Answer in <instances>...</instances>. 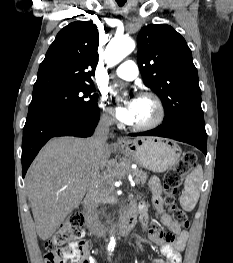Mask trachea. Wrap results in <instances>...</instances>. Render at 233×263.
Masks as SVG:
<instances>
[{
  "label": "trachea",
  "mask_w": 233,
  "mask_h": 263,
  "mask_svg": "<svg viewBox=\"0 0 233 263\" xmlns=\"http://www.w3.org/2000/svg\"><path fill=\"white\" fill-rule=\"evenodd\" d=\"M119 6H123L126 3V0H116Z\"/></svg>",
  "instance_id": "trachea-1"
}]
</instances>
